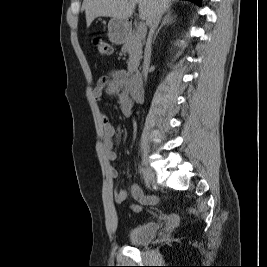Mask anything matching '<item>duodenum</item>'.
<instances>
[{"label":"duodenum","mask_w":267,"mask_h":267,"mask_svg":"<svg viewBox=\"0 0 267 267\" xmlns=\"http://www.w3.org/2000/svg\"><path fill=\"white\" fill-rule=\"evenodd\" d=\"M130 95L135 101H140L142 98L140 89V75L138 72H133L131 74Z\"/></svg>","instance_id":"duodenum-1"}]
</instances>
